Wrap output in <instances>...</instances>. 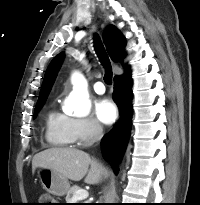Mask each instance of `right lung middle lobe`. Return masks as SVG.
<instances>
[{
	"mask_svg": "<svg viewBox=\"0 0 200 205\" xmlns=\"http://www.w3.org/2000/svg\"><path fill=\"white\" fill-rule=\"evenodd\" d=\"M46 98L45 99H42V100H39L36 104V107H35V112H38L41 107L43 106L44 102H45Z\"/></svg>",
	"mask_w": 200,
	"mask_h": 205,
	"instance_id": "dd1d6c3e",
	"label": "right lung middle lobe"
}]
</instances>
